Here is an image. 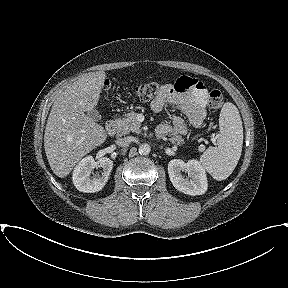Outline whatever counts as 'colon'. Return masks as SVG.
Returning a JSON list of instances; mask_svg holds the SVG:
<instances>
[{
	"instance_id": "colon-1",
	"label": "colon",
	"mask_w": 288,
	"mask_h": 288,
	"mask_svg": "<svg viewBox=\"0 0 288 288\" xmlns=\"http://www.w3.org/2000/svg\"><path fill=\"white\" fill-rule=\"evenodd\" d=\"M111 83L106 84V90H110ZM165 86L158 83H145L138 85L134 88V96L137 100L142 102L150 101L156 98L163 90ZM224 97L219 90H212L208 96V104L212 109H218L223 105Z\"/></svg>"
}]
</instances>
